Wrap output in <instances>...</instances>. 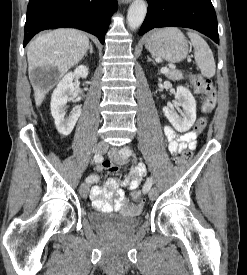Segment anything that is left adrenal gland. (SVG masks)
I'll return each instance as SVG.
<instances>
[{
	"mask_svg": "<svg viewBox=\"0 0 247 275\" xmlns=\"http://www.w3.org/2000/svg\"><path fill=\"white\" fill-rule=\"evenodd\" d=\"M152 61L154 65H156V63L150 58L148 57V62Z\"/></svg>",
	"mask_w": 247,
	"mask_h": 275,
	"instance_id": "obj_1",
	"label": "left adrenal gland"
}]
</instances>
